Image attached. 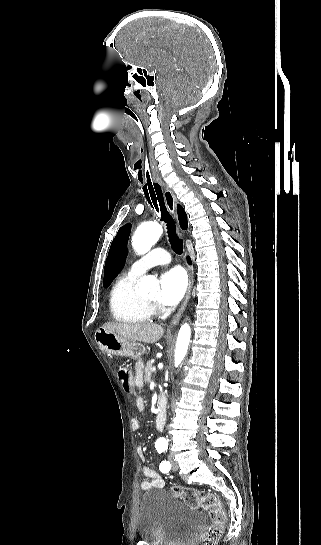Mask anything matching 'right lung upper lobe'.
I'll return each mask as SVG.
<instances>
[{
  "label": "right lung upper lobe",
  "instance_id": "1",
  "mask_svg": "<svg viewBox=\"0 0 321 545\" xmlns=\"http://www.w3.org/2000/svg\"><path fill=\"white\" fill-rule=\"evenodd\" d=\"M178 218L182 229H186L188 226L187 215L182 206L177 205Z\"/></svg>",
  "mask_w": 321,
  "mask_h": 545
}]
</instances>
